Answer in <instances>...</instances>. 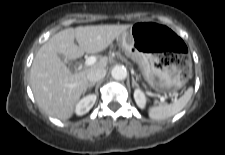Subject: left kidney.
<instances>
[{
	"instance_id": "1",
	"label": "left kidney",
	"mask_w": 225,
	"mask_h": 155,
	"mask_svg": "<svg viewBox=\"0 0 225 155\" xmlns=\"http://www.w3.org/2000/svg\"><path fill=\"white\" fill-rule=\"evenodd\" d=\"M134 99L139 108L141 109L145 108L146 97H145V94L140 89H136L134 91Z\"/></svg>"
}]
</instances>
